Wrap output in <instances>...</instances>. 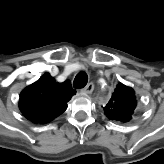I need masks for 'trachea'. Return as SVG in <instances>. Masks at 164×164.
I'll use <instances>...</instances> for the list:
<instances>
[{"instance_id": "3493384b", "label": "trachea", "mask_w": 164, "mask_h": 164, "mask_svg": "<svg viewBox=\"0 0 164 164\" xmlns=\"http://www.w3.org/2000/svg\"><path fill=\"white\" fill-rule=\"evenodd\" d=\"M87 82H88L87 74L84 71H81L76 75L73 81V86L74 88H77V89L83 88L86 86Z\"/></svg>"}]
</instances>
